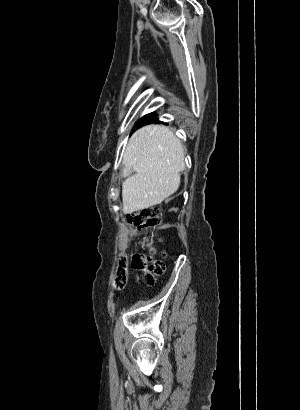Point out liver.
<instances>
[{
    "instance_id": "1",
    "label": "liver",
    "mask_w": 300,
    "mask_h": 410,
    "mask_svg": "<svg viewBox=\"0 0 300 410\" xmlns=\"http://www.w3.org/2000/svg\"><path fill=\"white\" fill-rule=\"evenodd\" d=\"M123 162L128 174L122 184L123 212L131 214L158 205L177 191L179 172L185 168L184 149L171 129L148 125L132 135Z\"/></svg>"
}]
</instances>
